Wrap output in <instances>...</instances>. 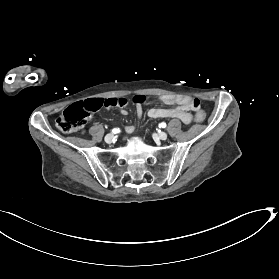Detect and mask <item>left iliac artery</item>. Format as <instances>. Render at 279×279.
<instances>
[{"mask_svg":"<svg viewBox=\"0 0 279 279\" xmlns=\"http://www.w3.org/2000/svg\"><path fill=\"white\" fill-rule=\"evenodd\" d=\"M159 127H160V128H165V127H166V123H164V122L160 123V124H159Z\"/></svg>","mask_w":279,"mask_h":279,"instance_id":"44dca946","label":"left iliac artery"}]
</instances>
